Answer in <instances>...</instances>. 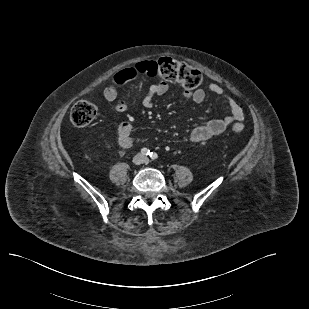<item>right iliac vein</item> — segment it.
<instances>
[{
  "label": "right iliac vein",
  "mask_w": 309,
  "mask_h": 309,
  "mask_svg": "<svg viewBox=\"0 0 309 309\" xmlns=\"http://www.w3.org/2000/svg\"><path fill=\"white\" fill-rule=\"evenodd\" d=\"M143 161H144V158H143V156H142L141 154H137V155L134 156V158H133V163H134L135 165H140L141 163H143Z\"/></svg>",
  "instance_id": "obj_1"
}]
</instances>
